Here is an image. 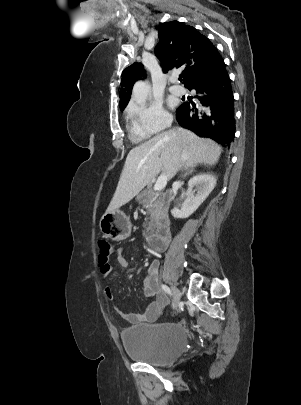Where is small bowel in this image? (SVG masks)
<instances>
[{
    "label": "small bowel",
    "instance_id": "obj_1",
    "mask_svg": "<svg viewBox=\"0 0 301 405\" xmlns=\"http://www.w3.org/2000/svg\"><path fill=\"white\" fill-rule=\"evenodd\" d=\"M118 256V263L122 268L128 267V262L123 256V251L111 248L110 254L107 257L99 256L100 273L102 277H107L111 272L110 257ZM158 267L157 260H153L146 269V275L143 281V294L146 298L151 299V302L142 313H126L119 311V314L132 324L152 323L155 322L161 315L164 307L167 304V297L158 289ZM105 297L113 302L114 293L110 286L104 287Z\"/></svg>",
    "mask_w": 301,
    "mask_h": 405
}]
</instances>
